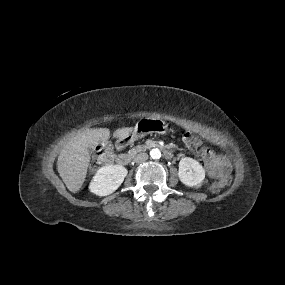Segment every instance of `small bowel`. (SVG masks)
<instances>
[{"mask_svg":"<svg viewBox=\"0 0 285 285\" xmlns=\"http://www.w3.org/2000/svg\"><path fill=\"white\" fill-rule=\"evenodd\" d=\"M201 158L204 162L205 169L211 178L219 177L230 171L228 161L209 148L203 147L201 149Z\"/></svg>","mask_w":285,"mask_h":285,"instance_id":"small-bowel-1","label":"small bowel"}]
</instances>
